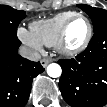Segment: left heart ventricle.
Here are the masks:
<instances>
[{
    "label": "left heart ventricle",
    "mask_w": 107,
    "mask_h": 107,
    "mask_svg": "<svg viewBox=\"0 0 107 107\" xmlns=\"http://www.w3.org/2000/svg\"><path fill=\"white\" fill-rule=\"evenodd\" d=\"M87 33V24L83 19H75L69 26L67 32V45L69 47L78 46Z\"/></svg>",
    "instance_id": "left-heart-ventricle-1"
}]
</instances>
